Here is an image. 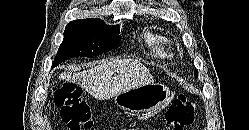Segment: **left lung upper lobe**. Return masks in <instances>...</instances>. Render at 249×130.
<instances>
[{
	"label": "left lung upper lobe",
	"mask_w": 249,
	"mask_h": 130,
	"mask_svg": "<svg viewBox=\"0 0 249 130\" xmlns=\"http://www.w3.org/2000/svg\"><path fill=\"white\" fill-rule=\"evenodd\" d=\"M195 76L198 77V71H195Z\"/></svg>",
	"instance_id": "obj_1"
}]
</instances>
